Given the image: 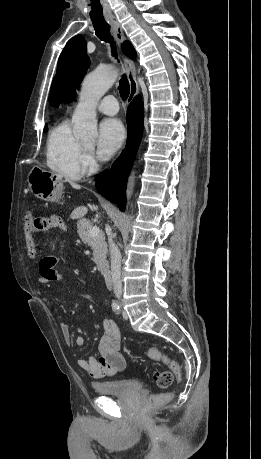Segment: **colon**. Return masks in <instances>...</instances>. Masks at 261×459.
<instances>
[{
  "instance_id": "obj_1",
  "label": "colon",
  "mask_w": 261,
  "mask_h": 459,
  "mask_svg": "<svg viewBox=\"0 0 261 459\" xmlns=\"http://www.w3.org/2000/svg\"><path fill=\"white\" fill-rule=\"evenodd\" d=\"M42 222L39 219H34L33 216H24L23 224L19 229L20 236H25L26 250L29 252V258L32 261L42 259L43 255L39 254L37 246L34 244L36 239L37 229H40ZM148 356L152 360L164 361L169 364L170 370L156 372L154 374V380L160 388L170 387L174 380L180 379L181 368L180 365L167 357L160 349L152 347L148 350ZM172 395L170 393L155 394L148 398V405L150 407L157 406L168 401Z\"/></svg>"
}]
</instances>
